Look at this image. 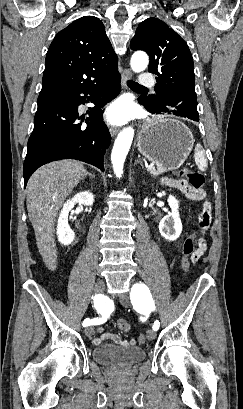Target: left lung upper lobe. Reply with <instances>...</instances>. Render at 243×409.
<instances>
[{
	"mask_svg": "<svg viewBox=\"0 0 243 409\" xmlns=\"http://www.w3.org/2000/svg\"><path fill=\"white\" fill-rule=\"evenodd\" d=\"M130 47L148 53L149 72L156 75V95L143 99L152 105L169 99L197 108L193 58L187 43L174 30L157 18H148L139 24Z\"/></svg>",
	"mask_w": 243,
	"mask_h": 409,
	"instance_id": "left-lung-upper-lobe-1",
	"label": "left lung upper lobe"
}]
</instances>
